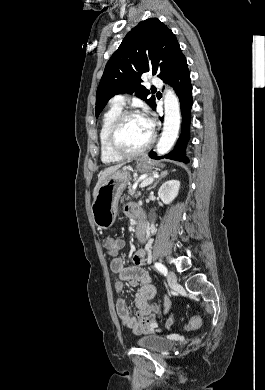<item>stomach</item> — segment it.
Wrapping results in <instances>:
<instances>
[{
	"label": "stomach",
	"instance_id": "1",
	"mask_svg": "<svg viewBox=\"0 0 265 390\" xmlns=\"http://www.w3.org/2000/svg\"><path fill=\"white\" fill-rule=\"evenodd\" d=\"M157 164L147 158H140L136 162V170L147 173L155 169ZM163 167V165H160ZM131 176L125 168L109 175L100 185L92 205V215L95 225L99 229H108L115 222L118 212V202Z\"/></svg>",
	"mask_w": 265,
	"mask_h": 390
}]
</instances>
